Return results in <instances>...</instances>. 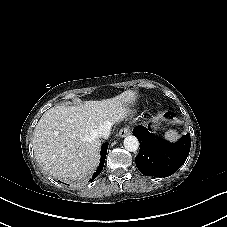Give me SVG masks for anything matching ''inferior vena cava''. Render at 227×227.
Listing matches in <instances>:
<instances>
[{
    "label": "inferior vena cava",
    "instance_id": "obj_1",
    "mask_svg": "<svg viewBox=\"0 0 227 227\" xmlns=\"http://www.w3.org/2000/svg\"><path fill=\"white\" fill-rule=\"evenodd\" d=\"M111 133V125L105 124L96 129L95 134L97 137L107 139Z\"/></svg>",
    "mask_w": 227,
    "mask_h": 227
}]
</instances>
